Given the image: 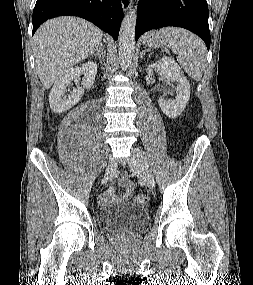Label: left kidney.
Returning <instances> with one entry per match:
<instances>
[{
  "label": "left kidney",
  "mask_w": 253,
  "mask_h": 285,
  "mask_svg": "<svg viewBox=\"0 0 253 285\" xmlns=\"http://www.w3.org/2000/svg\"><path fill=\"white\" fill-rule=\"evenodd\" d=\"M148 75H153V72H157L161 76L176 82L177 97L175 100H166L164 97H159L158 103L160 109L169 118L178 117L186 107L190 98V84L187 78L182 73L177 63L169 58L163 57L156 63L148 65L146 69Z\"/></svg>",
  "instance_id": "5707ae66"
}]
</instances>
